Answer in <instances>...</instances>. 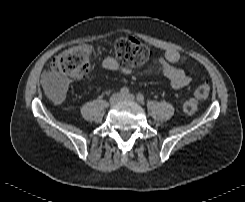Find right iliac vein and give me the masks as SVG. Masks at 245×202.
<instances>
[{
	"label": "right iliac vein",
	"instance_id": "right-iliac-vein-1",
	"mask_svg": "<svg viewBox=\"0 0 245 202\" xmlns=\"http://www.w3.org/2000/svg\"><path fill=\"white\" fill-rule=\"evenodd\" d=\"M122 100V95L120 93L113 94L110 98V104L115 105Z\"/></svg>",
	"mask_w": 245,
	"mask_h": 202
}]
</instances>
